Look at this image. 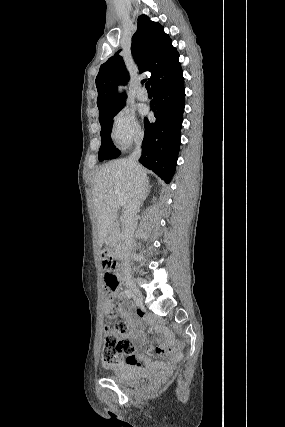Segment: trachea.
Wrapping results in <instances>:
<instances>
[{"mask_svg":"<svg viewBox=\"0 0 285 427\" xmlns=\"http://www.w3.org/2000/svg\"><path fill=\"white\" fill-rule=\"evenodd\" d=\"M145 87H146L147 91H151V87H150L149 82L145 83Z\"/></svg>","mask_w":285,"mask_h":427,"instance_id":"trachea-1","label":"trachea"}]
</instances>
